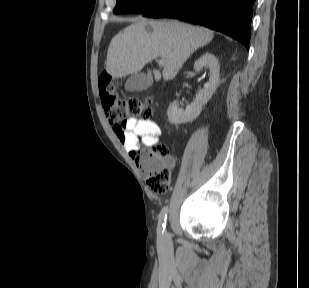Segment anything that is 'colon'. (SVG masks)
Returning <instances> with one entry per match:
<instances>
[{"label":"colon","instance_id":"colon-1","mask_svg":"<svg viewBox=\"0 0 309 288\" xmlns=\"http://www.w3.org/2000/svg\"><path fill=\"white\" fill-rule=\"evenodd\" d=\"M102 106L110 121L124 122L133 117L150 118L153 115L154 101L131 95L119 99L113 77L103 72L98 81ZM137 166L145 178L147 186L154 192H165L171 187L172 162L165 145L155 144L138 149L133 155Z\"/></svg>","mask_w":309,"mask_h":288}]
</instances>
